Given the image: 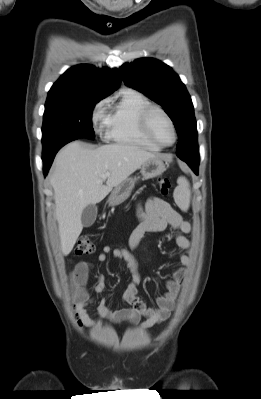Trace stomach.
<instances>
[{"mask_svg":"<svg viewBox=\"0 0 261 399\" xmlns=\"http://www.w3.org/2000/svg\"><path fill=\"white\" fill-rule=\"evenodd\" d=\"M165 169L163 161L156 157L144 162L140 167V173L143 179H151L160 176ZM137 180L136 177H129L115 186L107 201L109 206H117L124 202L130 196Z\"/></svg>","mask_w":261,"mask_h":399,"instance_id":"stomach-1","label":"stomach"}]
</instances>
